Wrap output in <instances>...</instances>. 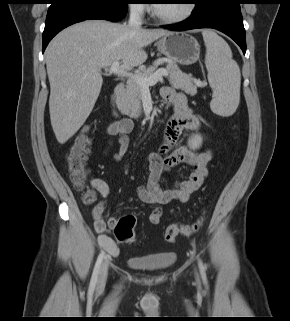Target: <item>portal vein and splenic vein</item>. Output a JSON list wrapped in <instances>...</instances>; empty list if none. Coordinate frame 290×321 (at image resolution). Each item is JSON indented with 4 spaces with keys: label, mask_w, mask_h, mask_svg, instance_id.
Wrapping results in <instances>:
<instances>
[{
    "label": "portal vein and splenic vein",
    "mask_w": 290,
    "mask_h": 321,
    "mask_svg": "<svg viewBox=\"0 0 290 321\" xmlns=\"http://www.w3.org/2000/svg\"><path fill=\"white\" fill-rule=\"evenodd\" d=\"M106 72H109L111 74H116L122 77H130L133 78L141 87L143 88H147L150 85L158 82L159 80H161L163 77H167L168 76V72L166 69H158L156 70L152 75H150L149 77H144L138 74H131L127 71V69H125L124 67L120 66L119 61H115L112 63V65L105 69ZM196 84L199 86H204V83L200 82V81H196Z\"/></svg>",
    "instance_id": "obj_1"
}]
</instances>
